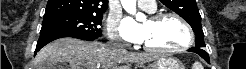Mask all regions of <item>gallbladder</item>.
<instances>
[{"label":"gallbladder","mask_w":246,"mask_h":69,"mask_svg":"<svg viewBox=\"0 0 246 69\" xmlns=\"http://www.w3.org/2000/svg\"><path fill=\"white\" fill-rule=\"evenodd\" d=\"M56 69H61L62 67H60V66H57V67H55Z\"/></svg>","instance_id":"1"}]
</instances>
